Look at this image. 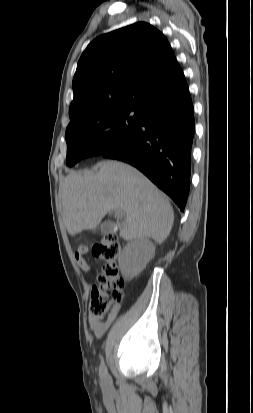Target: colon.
Masks as SVG:
<instances>
[{"label":"colon","mask_w":253,"mask_h":413,"mask_svg":"<svg viewBox=\"0 0 253 413\" xmlns=\"http://www.w3.org/2000/svg\"><path fill=\"white\" fill-rule=\"evenodd\" d=\"M120 244L115 234L104 235L92 248L93 255L101 261L97 285L91 289L90 315L105 316L110 308L124 297V280L119 274L117 257Z\"/></svg>","instance_id":"5ec220e1"}]
</instances>
